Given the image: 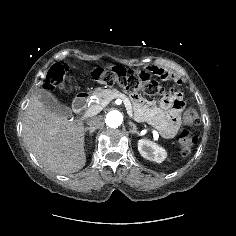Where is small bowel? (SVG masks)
Masks as SVG:
<instances>
[{
  "instance_id": "c3829d8e",
  "label": "small bowel",
  "mask_w": 236,
  "mask_h": 236,
  "mask_svg": "<svg viewBox=\"0 0 236 236\" xmlns=\"http://www.w3.org/2000/svg\"><path fill=\"white\" fill-rule=\"evenodd\" d=\"M120 76L128 78H153L155 75L163 80H174L175 77L163 70L153 67H129L128 65H120L118 67ZM182 104L180 100L166 101L161 100L158 106L149 105L145 101H139L136 114L138 118L153 125L162 136L166 138L174 137L180 126V113Z\"/></svg>"
}]
</instances>
